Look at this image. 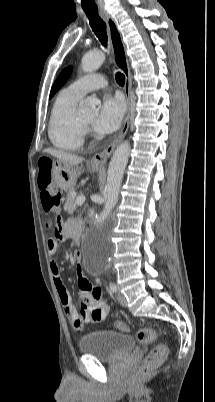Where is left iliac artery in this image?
Wrapping results in <instances>:
<instances>
[{
  "label": "left iliac artery",
  "instance_id": "left-iliac-artery-1",
  "mask_svg": "<svg viewBox=\"0 0 215 402\" xmlns=\"http://www.w3.org/2000/svg\"><path fill=\"white\" fill-rule=\"evenodd\" d=\"M110 290H111L112 292H116V291H117V286H116V284L110 283Z\"/></svg>",
  "mask_w": 215,
  "mask_h": 402
}]
</instances>
